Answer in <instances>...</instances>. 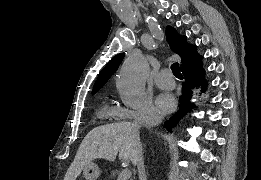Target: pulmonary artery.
<instances>
[{
	"mask_svg": "<svg viewBox=\"0 0 261 180\" xmlns=\"http://www.w3.org/2000/svg\"><path fill=\"white\" fill-rule=\"evenodd\" d=\"M154 82L157 86L164 89H171L175 83L172 79V73L169 69H163L154 78Z\"/></svg>",
	"mask_w": 261,
	"mask_h": 180,
	"instance_id": "pulmonary-artery-1",
	"label": "pulmonary artery"
}]
</instances>
